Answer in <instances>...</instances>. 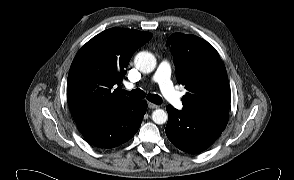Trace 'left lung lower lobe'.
<instances>
[{
    "label": "left lung lower lobe",
    "instance_id": "left-lung-lower-lobe-1",
    "mask_svg": "<svg viewBox=\"0 0 294 180\" xmlns=\"http://www.w3.org/2000/svg\"><path fill=\"white\" fill-rule=\"evenodd\" d=\"M169 119L165 129L173 145L188 153H199L211 146L224 131L229 116L193 114L166 107Z\"/></svg>",
    "mask_w": 294,
    "mask_h": 180
}]
</instances>
